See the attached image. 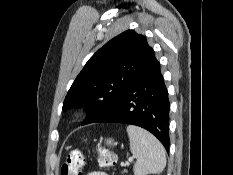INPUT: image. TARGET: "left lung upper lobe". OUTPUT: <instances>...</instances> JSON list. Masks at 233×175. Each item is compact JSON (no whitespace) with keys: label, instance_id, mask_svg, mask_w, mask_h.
I'll return each mask as SVG.
<instances>
[{"label":"left lung upper lobe","instance_id":"obj_1","mask_svg":"<svg viewBox=\"0 0 233 175\" xmlns=\"http://www.w3.org/2000/svg\"><path fill=\"white\" fill-rule=\"evenodd\" d=\"M154 58L144 36L127 30L100 48L73 82L63 109L85 106L83 125L97 122Z\"/></svg>","mask_w":233,"mask_h":175}]
</instances>
